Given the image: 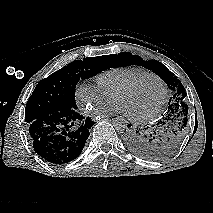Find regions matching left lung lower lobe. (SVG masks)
<instances>
[{"mask_svg":"<svg viewBox=\"0 0 213 213\" xmlns=\"http://www.w3.org/2000/svg\"><path fill=\"white\" fill-rule=\"evenodd\" d=\"M157 122L145 125L142 129L131 128L125 129L124 141L126 146L136 155L150 159L154 151L153 144L157 135L162 129L164 119H167L165 114Z\"/></svg>","mask_w":213,"mask_h":213,"instance_id":"left-lung-lower-lobe-1","label":"left lung lower lobe"}]
</instances>
